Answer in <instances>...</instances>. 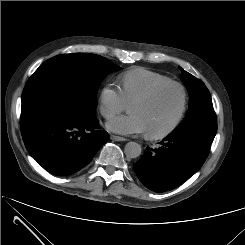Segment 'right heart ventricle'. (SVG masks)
<instances>
[{
	"mask_svg": "<svg viewBox=\"0 0 245 245\" xmlns=\"http://www.w3.org/2000/svg\"><path fill=\"white\" fill-rule=\"evenodd\" d=\"M169 81H172V79L164 74L144 68H135L121 75L120 91L125 102L129 103L154 85Z\"/></svg>",
	"mask_w": 245,
	"mask_h": 245,
	"instance_id": "obj_1",
	"label": "right heart ventricle"
}]
</instances>
